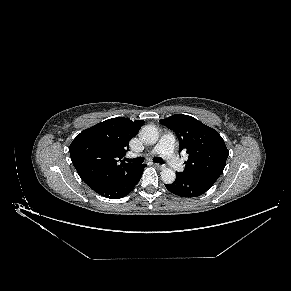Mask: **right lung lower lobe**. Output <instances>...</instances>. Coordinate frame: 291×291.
<instances>
[{
  "instance_id": "98d812e1",
  "label": "right lung lower lobe",
  "mask_w": 291,
  "mask_h": 291,
  "mask_svg": "<svg viewBox=\"0 0 291 291\" xmlns=\"http://www.w3.org/2000/svg\"><path fill=\"white\" fill-rule=\"evenodd\" d=\"M145 167V164L137 165L126 173L108 180H103L90 186V188L104 197L111 199L122 198L128 195L139 182Z\"/></svg>"
}]
</instances>
